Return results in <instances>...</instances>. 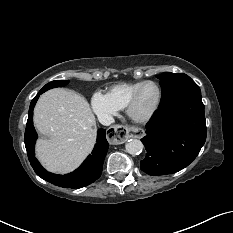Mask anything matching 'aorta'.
<instances>
[{
	"mask_svg": "<svg viewBox=\"0 0 233 233\" xmlns=\"http://www.w3.org/2000/svg\"><path fill=\"white\" fill-rule=\"evenodd\" d=\"M143 144L140 140L138 139H130L127 141L125 145L126 151L131 154V155H138L142 152L143 150Z\"/></svg>",
	"mask_w": 233,
	"mask_h": 233,
	"instance_id": "762f6f07",
	"label": "aorta"
}]
</instances>
